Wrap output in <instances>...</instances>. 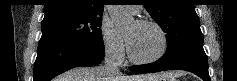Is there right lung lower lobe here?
Wrapping results in <instances>:
<instances>
[{
	"label": "right lung lower lobe",
	"mask_w": 237,
	"mask_h": 81,
	"mask_svg": "<svg viewBox=\"0 0 237 81\" xmlns=\"http://www.w3.org/2000/svg\"><path fill=\"white\" fill-rule=\"evenodd\" d=\"M104 59V44H80L58 39H40L33 81H50L78 66H95Z\"/></svg>",
	"instance_id": "right-lung-lower-lobe-1"
}]
</instances>
